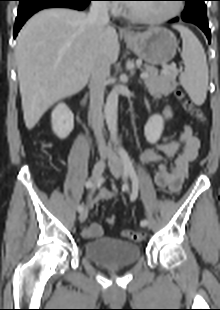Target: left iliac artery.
<instances>
[{"label": "left iliac artery", "instance_id": "left-iliac-artery-1", "mask_svg": "<svg viewBox=\"0 0 220 310\" xmlns=\"http://www.w3.org/2000/svg\"><path fill=\"white\" fill-rule=\"evenodd\" d=\"M119 155L121 157L123 166H124V171L126 175H129L133 184V191L130 196L131 201H135L137 196H138V189H139V178L136 174V171L132 165V161L126 152L124 148H119ZM146 220H142L140 222L141 226H145Z\"/></svg>", "mask_w": 220, "mask_h": 310}]
</instances>
